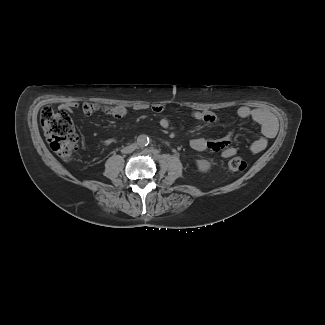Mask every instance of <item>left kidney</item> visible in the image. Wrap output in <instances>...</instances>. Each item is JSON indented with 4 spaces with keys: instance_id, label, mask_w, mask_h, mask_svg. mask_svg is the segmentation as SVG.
Listing matches in <instances>:
<instances>
[{
    "instance_id": "obj_1",
    "label": "left kidney",
    "mask_w": 325,
    "mask_h": 325,
    "mask_svg": "<svg viewBox=\"0 0 325 325\" xmlns=\"http://www.w3.org/2000/svg\"><path fill=\"white\" fill-rule=\"evenodd\" d=\"M197 168L200 172L206 173L211 169V164L205 159L196 160Z\"/></svg>"
}]
</instances>
